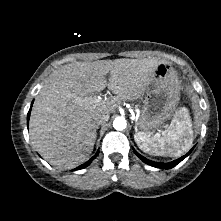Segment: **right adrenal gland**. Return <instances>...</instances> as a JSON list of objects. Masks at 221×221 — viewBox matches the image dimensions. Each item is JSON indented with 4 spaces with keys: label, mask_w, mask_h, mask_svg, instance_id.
<instances>
[{
    "label": "right adrenal gland",
    "mask_w": 221,
    "mask_h": 221,
    "mask_svg": "<svg viewBox=\"0 0 221 221\" xmlns=\"http://www.w3.org/2000/svg\"><path fill=\"white\" fill-rule=\"evenodd\" d=\"M99 127L98 126H96V128H95V135H97V129H98Z\"/></svg>",
    "instance_id": "right-adrenal-gland-1"
}]
</instances>
